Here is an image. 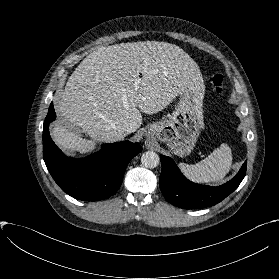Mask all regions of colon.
Wrapping results in <instances>:
<instances>
[{
	"label": "colon",
	"mask_w": 279,
	"mask_h": 279,
	"mask_svg": "<svg viewBox=\"0 0 279 279\" xmlns=\"http://www.w3.org/2000/svg\"><path fill=\"white\" fill-rule=\"evenodd\" d=\"M210 88L216 93L220 94L223 89L224 76L220 71H215L209 78Z\"/></svg>",
	"instance_id": "colon-1"
}]
</instances>
